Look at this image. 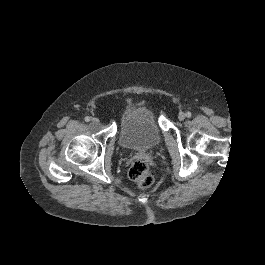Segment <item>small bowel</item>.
Here are the masks:
<instances>
[{
    "label": "small bowel",
    "mask_w": 265,
    "mask_h": 265,
    "mask_svg": "<svg viewBox=\"0 0 265 265\" xmlns=\"http://www.w3.org/2000/svg\"><path fill=\"white\" fill-rule=\"evenodd\" d=\"M143 105H144V103L139 102V103H134V104H133V107L141 108Z\"/></svg>",
    "instance_id": "1"
}]
</instances>
